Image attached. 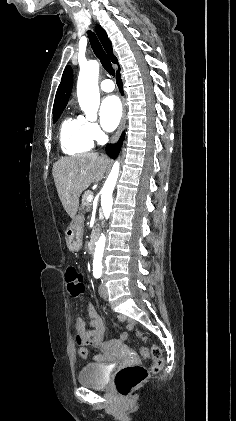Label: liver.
<instances>
[{
    "label": "liver",
    "mask_w": 236,
    "mask_h": 421,
    "mask_svg": "<svg viewBox=\"0 0 236 421\" xmlns=\"http://www.w3.org/2000/svg\"><path fill=\"white\" fill-rule=\"evenodd\" d=\"M110 160L98 152H84L77 156H64L53 164L52 174L58 196L71 219L79 208V196L92 180H101Z\"/></svg>",
    "instance_id": "obj_1"
}]
</instances>
